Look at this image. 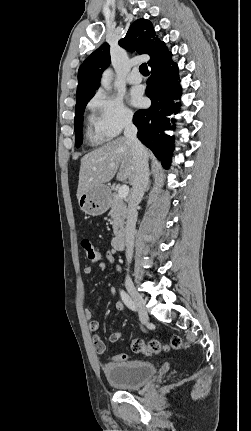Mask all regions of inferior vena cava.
Instances as JSON below:
<instances>
[{"instance_id":"inferior-vena-cava-1","label":"inferior vena cava","mask_w":251,"mask_h":431,"mask_svg":"<svg viewBox=\"0 0 251 431\" xmlns=\"http://www.w3.org/2000/svg\"><path fill=\"white\" fill-rule=\"evenodd\" d=\"M124 137L132 146L135 164V175L132 183L133 190L129 197L125 227L126 258L127 262L130 263L133 256L137 207L147 190L149 182V168L145 148L137 139V128L131 119L126 122Z\"/></svg>"}]
</instances>
